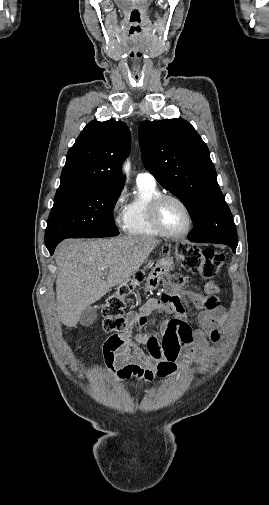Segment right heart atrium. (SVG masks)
<instances>
[{
  "mask_svg": "<svg viewBox=\"0 0 269 505\" xmlns=\"http://www.w3.org/2000/svg\"><path fill=\"white\" fill-rule=\"evenodd\" d=\"M125 200H124V193L121 191L119 192L116 197L114 198L112 205H111V215L114 224L117 227H124L125 223Z\"/></svg>",
  "mask_w": 269,
  "mask_h": 505,
  "instance_id": "1",
  "label": "right heart atrium"
}]
</instances>
